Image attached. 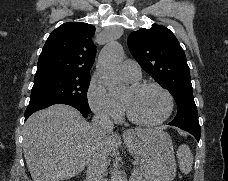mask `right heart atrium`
<instances>
[{
	"instance_id": "obj_1",
	"label": "right heart atrium",
	"mask_w": 228,
	"mask_h": 181,
	"mask_svg": "<svg viewBox=\"0 0 228 181\" xmlns=\"http://www.w3.org/2000/svg\"><path fill=\"white\" fill-rule=\"evenodd\" d=\"M88 100L91 109L99 116L116 122L122 119V103L107 91L103 82L97 79L91 81Z\"/></svg>"
}]
</instances>
